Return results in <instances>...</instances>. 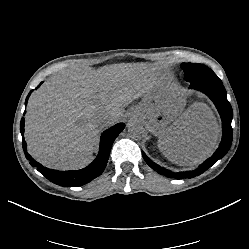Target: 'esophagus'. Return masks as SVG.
<instances>
[{
    "instance_id": "obj_1",
    "label": "esophagus",
    "mask_w": 249,
    "mask_h": 249,
    "mask_svg": "<svg viewBox=\"0 0 249 249\" xmlns=\"http://www.w3.org/2000/svg\"><path fill=\"white\" fill-rule=\"evenodd\" d=\"M130 118L129 120H135V121H139L142 119V116L140 115L139 112H135V111H131L129 112Z\"/></svg>"
}]
</instances>
